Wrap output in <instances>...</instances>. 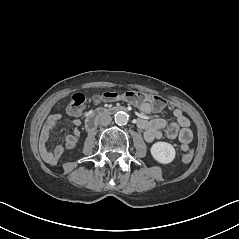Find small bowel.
<instances>
[{"label":"small bowel","mask_w":239,"mask_h":239,"mask_svg":"<svg viewBox=\"0 0 239 239\" xmlns=\"http://www.w3.org/2000/svg\"><path fill=\"white\" fill-rule=\"evenodd\" d=\"M140 111L144 114H150L152 111H158L150 103L145 102L140 105ZM174 122L168 123L164 118L146 119L140 118L138 120V126L144 132V138L148 142H152L155 139H161L167 137L169 139H177L180 142L182 151L188 150V145L192 141L193 134L190 130V120L184 115L181 109L176 108L173 110ZM64 121V118L60 114L52 115L48 118L42 127L39 139V151L42 159L49 165H55L62 154L64 149H73L80 136L81 120L74 119L72 124L74 131L72 134H68L64 138V145L57 144L52 150L48 148V142L50 139L51 131L60 123Z\"/></svg>","instance_id":"1"}]
</instances>
